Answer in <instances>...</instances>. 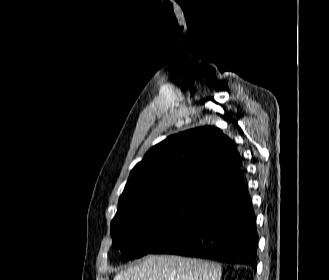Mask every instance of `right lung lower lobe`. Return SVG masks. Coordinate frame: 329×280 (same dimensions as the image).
Wrapping results in <instances>:
<instances>
[{"label":"right lung lower lobe","instance_id":"right-lung-lower-lobe-1","mask_svg":"<svg viewBox=\"0 0 329 280\" xmlns=\"http://www.w3.org/2000/svg\"><path fill=\"white\" fill-rule=\"evenodd\" d=\"M256 253L254 212L241 170L210 189L181 225L149 252L253 266Z\"/></svg>","mask_w":329,"mask_h":280}]
</instances>
